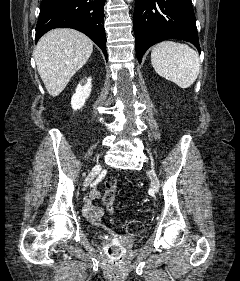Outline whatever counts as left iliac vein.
Instances as JSON below:
<instances>
[{"mask_svg": "<svg viewBox=\"0 0 240 281\" xmlns=\"http://www.w3.org/2000/svg\"><path fill=\"white\" fill-rule=\"evenodd\" d=\"M148 175L152 180L153 186L158 189L160 187L159 180L153 170L148 171Z\"/></svg>", "mask_w": 240, "mask_h": 281, "instance_id": "left-iliac-vein-1", "label": "left iliac vein"}]
</instances>
